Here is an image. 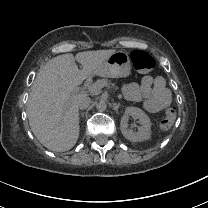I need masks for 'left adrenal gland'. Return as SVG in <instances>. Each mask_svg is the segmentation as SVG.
I'll return each instance as SVG.
<instances>
[{
	"label": "left adrenal gland",
	"instance_id": "1",
	"mask_svg": "<svg viewBox=\"0 0 208 208\" xmlns=\"http://www.w3.org/2000/svg\"><path fill=\"white\" fill-rule=\"evenodd\" d=\"M119 106H120V103H118V104H113V109L115 110V111H118V108H119Z\"/></svg>",
	"mask_w": 208,
	"mask_h": 208
}]
</instances>
